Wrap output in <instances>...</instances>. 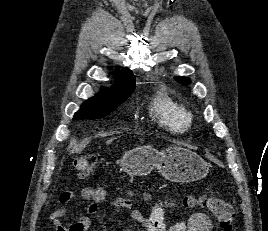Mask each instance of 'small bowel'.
<instances>
[{
    "instance_id": "obj_1",
    "label": "small bowel",
    "mask_w": 268,
    "mask_h": 231,
    "mask_svg": "<svg viewBox=\"0 0 268 231\" xmlns=\"http://www.w3.org/2000/svg\"><path fill=\"white\" fill-rule=\"evenodd\" d=\"M82 198L91 202L88 207L90 215L96 214L105 200L113 198L120 209L130 211L131 218L141 224L144 231H211L212 229L209 217L203 213H195L187 221L176 222L167 228L165 212L173 205L170 199L155 202L149 216L145 217L140 210L133 207V202L129 198L116 196L115 191L108 187H86L82 191ZM66 212V208L63 207L51 214L50 221L55 231H89L92 221L88 215H83L76 222L65 225L62 218Z\"/></svg>"
}]
</instances>
